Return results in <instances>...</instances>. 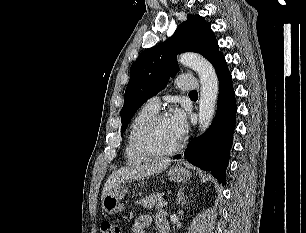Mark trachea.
<instances>
[{
  "mask_svg": "<svg viewBox=\"0 0 306 233\" xmlns=\"http://www.w3.org/2000/svg\"><path fill=\"white\" fill-rule=\"evenodd\" d=\"M189 94L190 95H197L198 93H197V91H191Z\"/></svg>",
  "mask_w": 306,
  "mask_h": 233,
  "instance_id": "1",
  "label": "trachea"
}]
</instances>
